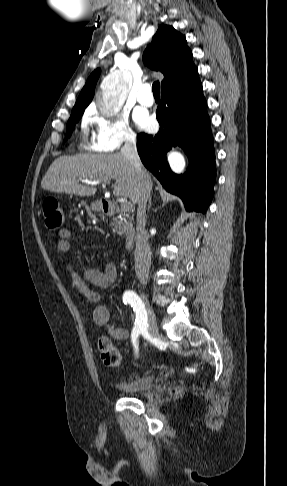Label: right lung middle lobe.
Masks as SVG:
<instances>
[{"mask_svg":"<svg viewBox=\"0 0 287 486\" xmlns=\"http://www.w3.org/2000/svg\"><path fill=\"white\" fill-rule=\"evenodd\" d=\"M83 113H78V114H72L70 116L69 121L67 122V134L66 138H68L71 135V132L75 126V124L79 121Z\"/></svg>","mask_w":287,"mask_h":486,"instance_id":"dd1d6c3e","label":"right lung middle lobe"}]
</instances>
